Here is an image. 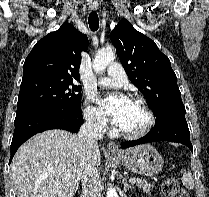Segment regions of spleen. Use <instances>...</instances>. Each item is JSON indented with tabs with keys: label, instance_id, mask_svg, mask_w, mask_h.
<instances>
[{
	"label": "spleen",
	"instance_id": "3e777b00",
	"mask_svg": "<svg viewBox=\"0 0 209 197\" xmlns=\"http://www.w3.org/2000/svg\"><path fill=\"white\" fill-rule=\"evenodd\" d=\"M182 172H183V177H182L183 185L189 190L193 189L194 179L192 177V174L190 172H187L185 169H183Z\"/></svg>",
	"mask_w": 209,
	"mask_h": 197
}]
</instances>
